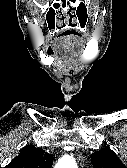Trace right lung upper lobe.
Masks as SVG:
<instances>
[{
    "mask_svg": "<svg viewBox=\"0 0 127 168\" xmlns=\"http://www.w3.org/2000/svg\"><path fill=\"white\" fill-rule=\"evenodd\" d=\"M53 157L41 148L27 145L5 168H51Z\"/></svg>",
    "mask_w": 127,
    "mask_h": 168,
    "instance_id": "cb5924a9",
    "label": "right lung upper lobe"
}]
</instances>
